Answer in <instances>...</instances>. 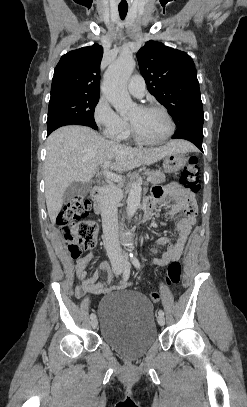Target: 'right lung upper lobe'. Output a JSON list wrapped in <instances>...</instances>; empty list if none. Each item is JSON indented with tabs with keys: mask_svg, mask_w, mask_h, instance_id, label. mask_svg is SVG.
I'll return each instance as SVG.
<instances>
[{
	"mask_svg": "<svg viewBox=\"0 0 247 407\" xmlns=\"http://www.w3.org/2000/svg\"><path fill=\"white\" fill-rule=\"evenodd\" d=\"M103 48L98 44L63 55L55 69L51 95L84 93L100 95V63Z\"/></svg>",
	"mask_w": 247,
	"mask_h": 407,
	"instance_id": "right-lung-upper-lobe-1",
	"label": "right lung upper lobe"
}]
</instances>
